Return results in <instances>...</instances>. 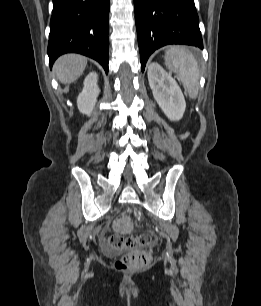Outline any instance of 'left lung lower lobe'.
Instances as JSON below:
<instances>
[{
	"mask_svg": "<svg viewBox=\"0 0 261 306\" xmlns=\"http://www.w3.org/2000/svg\"><path fill=\"white\" fill-rule=\"evenodd\" d=\"M142 71L149 56L168 44L203 48L194 0H134Z\"/></svg>",
	"mask_w": 261,
	"mask_h": 306,
	"instance_id": "obj_1",
	"label": "left lung lower lobe"
}]
</instances>
